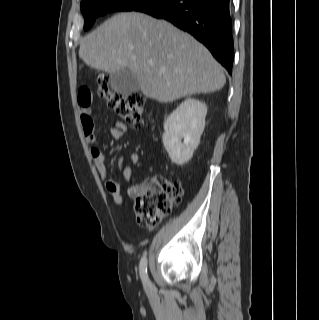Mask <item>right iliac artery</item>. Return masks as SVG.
Listing matches in <instances>:
<instances>
[{
    "mask_svg": "<svg viewBox=\"0 0 319 320\" xmlns=\"http://www.w3.org/2000/svg\"><path fill=\"white\" fill-rule=\"evenodd\" d=\"M139 267H140V276H141L142 282L145 286H148L150 282H149L148 273H147V258L145 255L141 258Z\"/></svg>",
    "mask_w": 319,
    "mask_h": 320,
    "instance_id": "obj_1",
    "label": "right iliac artery"
}]
</instances>
